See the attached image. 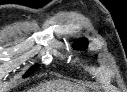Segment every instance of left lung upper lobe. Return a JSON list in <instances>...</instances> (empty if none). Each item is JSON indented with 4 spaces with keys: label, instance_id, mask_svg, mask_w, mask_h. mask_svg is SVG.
<instances>
[{
    "label": "left lung upper lobe",
    "instance_id": "5c2ea615",
    "mask_svg": "<svg viewBox=\"0 0 127 92\" xmlns=\"http://www.w3.org/2000/svg\"><path fill=\"white\" fill-rule=\"evenodd\" d=\"M87 39H80L74 46L78 49H85L87 46Z\"/></svg>",
    "mask_w": 127,
    "mask_h": 92
}]
</instances>
